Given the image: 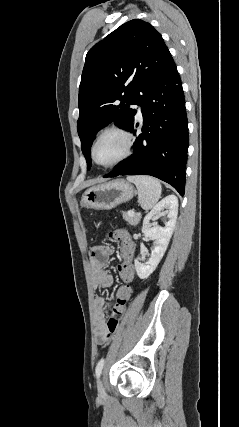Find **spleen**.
Instances as JSON below:
<instances>
[{
    "instance_id": "spleen-1",
    "label": "spleen",
    "mask_w": 239,
    "mask_h": 427,
    "mask_svg": "<svg viewBox=\"0 0 239 427\" xmlns=\"http://www.w3.org/2000/svg\"><path fill=\"white\" fill-rule=\"evenodd\" d=\"M127 180L133 182L138 189V202L144 210L153 208L161 197L162 187L160 182L145 175L128 176Z\"/></svg>"
}]
</instances>
